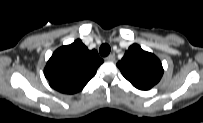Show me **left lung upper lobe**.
I'll return each mask as SVG.
<instances>
[{
  "instance_id": "1",
  "label": "left lung upper lobe",
  "mask_w": 203,
  "mask_h": 123,
  "mask_svg": "<svg viewBox=\"0 0 203 123\" xmlns=\"http://www.w3.org/2000/svg\"><path fill=\"white\" fill-rule=\"evenodd\" d=\"M123 76L137 89L149 90L156 85L162 75L160 60L152 53L133 44L117 64Z\"/></svg>"
}]
</instances>
